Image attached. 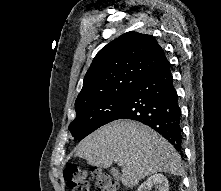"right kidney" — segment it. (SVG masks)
Instances as JSON below:
<instances>
[{"label":"right kidney","instance_id":"right-kidney-1","mask_svg":"<svg viewBox=\"0 0 221 191\" xmlns=\"http://www.w3.org/2000/svg\"><path fill=\"white\" fill-rule=\"evenodd\" d=\"M154 186L156 191H169L167 178L163 174H154L143 182L137 191H150Z\"/></svg>","mask_w":221,"mask_h":191}]
</instances>
